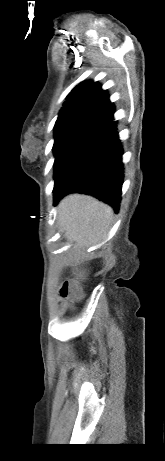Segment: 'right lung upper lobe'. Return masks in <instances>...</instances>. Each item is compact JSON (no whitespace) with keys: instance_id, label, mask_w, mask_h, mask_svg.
<instances>
[{"instance_id":"1","label":"right lung upper lobe","mask_w":165,"mask_h":461,"mask_svg":"<svg viewBox=\"0 0 165 461\" xmlns=\"http://www.w3.org/2000/svg\"><path fill=\"white\" fill-rule=\"evenodd\" d=\"M114 106L108 94L98 82L84 81L67 96L58 119L91 115L110 122L113 120Z\"/></svg>"}]
</instances>
